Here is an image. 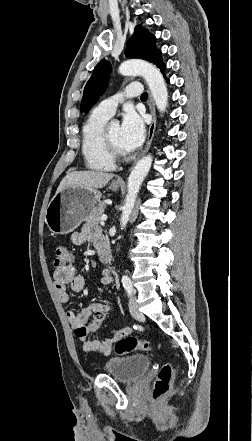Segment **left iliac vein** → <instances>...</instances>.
Returning a JSON list of instances; mask_svg holds the SVG:
<instances>
[{"instance_id":"4c4485c4","label":"left iliac vein","mask_w":252,"mask_h":441,"mask_svg":"<svg viewBox=\"0 0 252 441\" xmlns=\"http://www.w3.org/2000/svg\"><path fill=\"white\" fill-rule=\"evenodd\" d=\"M129 308L131 315L136 319H141L143 317V314L140 312L138 308V304L136 302V298L134 294L131 296L129 301Z\"/></svg>"}]
</instances>
